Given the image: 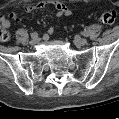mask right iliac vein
Here are the masks:
<instances>
[{"label":"right iliac vein","mask_w":119,"mask_h":119,"mask_svg":"<svg viewBox=\"0 0 119 119\" xmlns=\"http://www.w3.org/2000/svg\"><path fill=\"white\" fill-rule=\"evenodd\" d=\"M38 38H33L31 41H30V45H35V44H37L38 43Z\"/></svg>","instance_id":"right-iliac-vein-1"}]
</instances>
